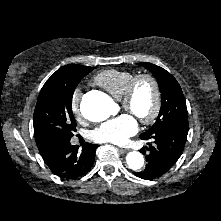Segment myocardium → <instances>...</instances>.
<instances>
[{"label":"myocardium","mask_w":221,"mask_h":221,"mask_svg":"<svg viewBox=\"0 0 221 221\" xmlns=\"http://www.w3.org/2000/svg\"><path fill=\"white\" fill-rule=\"evenodd\" d=\"M147 81L150 83L153 89L154 102L151 112L147 116L137 117L142 124H151L159 116L162 106V94L158 80L151 74H139L134 76L127 84L122 96L120 97V102L123 108L129 109L136 86L142 82Z\"/></svg>","instance_id":"f54148a6"}]
</instances>
